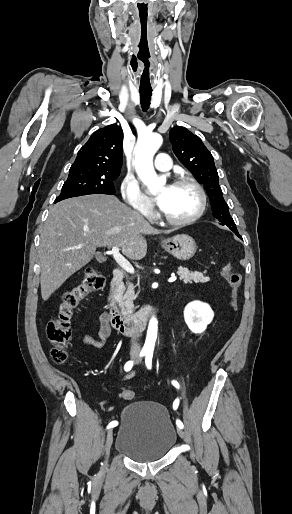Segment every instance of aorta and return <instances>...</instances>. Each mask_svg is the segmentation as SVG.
<instances>
[{
  "instance_id": "obj_1",
  "label": "aorta",
  "mask_w": 292,
  "mask_h": 514,
  "mask_svg": "<svg viewBox=\"0 0 292 514\" xmlns=\"http://www.w3.org/2000/svg\"><path fill=\"white\" fill-rule=\"evenodd\" d=\"M161 144L162 138L159 136V134H146V136L139 138L135 148V170L137 172V176L140 178L143 184L148 186L151 194L157 192L159 186H164L166 182L164 176L158 178L153 166V156L156 154L157 150H159ZM156 338L157 320L156 318H151L147 330V338L144 348H146V350H148V348H152L153 350Z\"/></svg>"
}]
</instances>
